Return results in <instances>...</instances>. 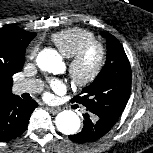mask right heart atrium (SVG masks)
Here are the masks:
<instances>
[{
    "mask_svg": "<svg viewBox=\"0 0 153 153\" xmlns=\"http://www.w3.org/2000/svg\"><path fill=\"white\" fill-rule=\"evenodd\" d=\"M36 52H37V48L36 47L32 48L30 53H29V57L31 59L34 58V56L36 55Z\"/></svg>",
    "mask_w": 153,
    "mask_h": 153,
    "instance_id": "right-heart-atrium-1",
    "label": "right heart atrium"
}]
</instances>
